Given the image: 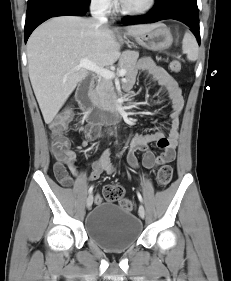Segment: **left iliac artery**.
<instances>
[{
	"label": "left iliac artery",
	"instance_id": "obj_1",
	"mask_svg": "<svg viewBox=\"0 0 231 281\" xmlns=\"http://www.w3.org/2000/svg\"><path fill=\"white\" fill-rule=\"evenodd\" d=\"M138 199L141 203H143V198L139 192H137Z\"/></svg>",
	"mask_w": 231,
	"mask_h": 281
}]
</instances>
